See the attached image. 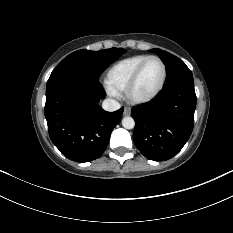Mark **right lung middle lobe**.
<instances>
[{"label":"right lung middle lobe","instance_id":"1","mask_svg":"<svg viewBox=\"0 0 233 233\" xmlns=\"http://www.w3.org/2000/svg\"><path fill=\"white\" fill-rule=\"evenodd\" d=\"M125 51L122 48L75 51L57 65L49 79L59 76H86L97 79L106 67L124 54Z\"/></svg>","mask_w":233,"mask_h":233}]
</instances>
